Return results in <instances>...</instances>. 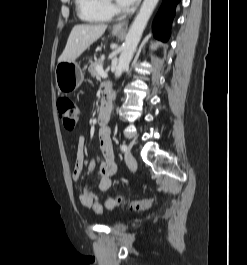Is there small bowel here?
<instances>
[{"mask_svg":"<svg viewBox=\"0 0 247 265\" xmlns=\"http://www.w3.org/2000/svg\"><path fill=\"white\" fill-rule=\"evenodd\" d=\"M98 137L101 150V163L98 169L100 180L97 183V190L105 192L113 185L114 177L117 174V164L114 159L110 129L107 127L100 128ZM85 143L86 138L81 135L78 139L77 155L72 174L74 180H78L83 171ZM96 165L97 161L92 160L87 166V180L84 183L80 194V202L84 207L92 209L95 213L99 214L102 212L103 206L100 203L98 196L91 189V177L95 171ZM119 205L120 204L116 201V199L113 198L107 199L104 204L105 208L108 210H114Z\"/></svg>","mask_w":247,"mask_h":265,"instance_id":"obj_1","label":"small bowel"}]
</instances>
